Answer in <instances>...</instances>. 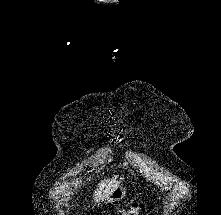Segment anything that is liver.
Wrapping results in <instances>:
<instances>
[{
	"mask_svg": "<svg viewBox=\"0 0 221 215\" xmlns=\"http://www.w3.org/2000/svg\"><path fill=\"white\" fill-rule=\"evenodd\" d=\"M119 185L120 181L116 178L102 180L93 194L94 202L99 204L101 201L105 200Z\"/></svg>",
	"mask_w": 221,
	"mask_h": 215,
	"instance_id": "liver-1",
	"label": "liver"
}]
</instances>
